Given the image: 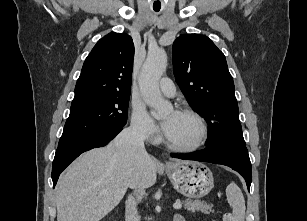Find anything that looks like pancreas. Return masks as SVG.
Masks as SVG:
<instances>
[{
  "instance_id": "obj_1",
  "label": "pancreas",
  "mask_w": 307,
  "mask_h": 221,
  "mask_svg": "<svg viewBox=\"0 0 307 221\" xmlns=\"http://www.w3.org/2000/svg\"><path fill=\"white\" fill-rule=\"evenodd\" d=\"M184 208L191 212L201 211L204 214H209L210 212H214L213 206L211 204H207L204 201L200 200H185Z\"/></svg>"
}]
</instances>
